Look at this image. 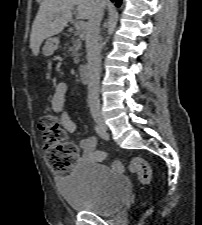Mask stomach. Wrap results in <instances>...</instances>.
<instances>
[{"label": "stomach", "instance_id": "1", "mask_svg": "<svg viewBox=\"0 0 202 225\" xmlns=\"http://www.w3.org/2000/svg\"><path fill=\"white\" fill-rule=\"evenodd\" d=\"M56 47L57 41L55 39H48L43 47V54L45 56L52 55Z\"/></svg>", "mask_w": 202, "mask_h": 225}]
</instances>
